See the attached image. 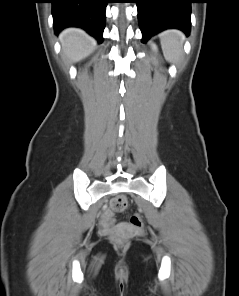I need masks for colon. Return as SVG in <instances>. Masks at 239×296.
<instances>
[{
    "mask_svg": "<svg viewBox=\"0 0 239 296\" xmlns=\"http://www.w3.org/2000/svg\"><path fill=\"white\" fill-rule=\"evenodd\" d=\"M126 206H127V199L124 196H117V197L113 198L110 203V208L114 212H122V211H124ZM128 221H129V224L135 228H139L143 225V220H142L141 216L136 213L131 214L129 216ZM114 240L121 241V237L116 236V237H114Z\"/></svg>",
    "mask_w": 239,
    "mask_h": 296,
    "instance_id": "obj_1",
    "label": "colon"
}]
</instances>
